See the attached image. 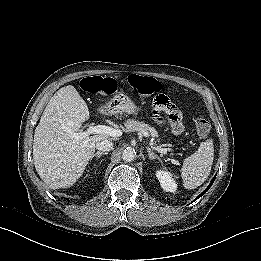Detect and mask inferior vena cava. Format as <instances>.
Masks as SVG:
<instances>
[{
	"label": "inferior vena cava",
	"mask_w": 261,
	"mask_h": 261,
	"mask_svg": "<svg viewBox=\"0 0 261 261\" xmlns=\"http://www.w3.org/2000/svg\"><path fill=\"white\" fill-rule=\"evenodd\" d=\"M113 148V143L107 139H101L96 143V149L107 152Z\"/></svg>",
	"instance_id": "602c4592"
}]
</instances>
